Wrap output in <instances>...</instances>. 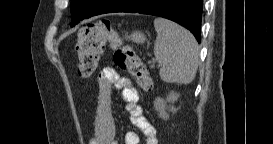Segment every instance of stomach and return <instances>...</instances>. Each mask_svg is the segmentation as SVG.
Listing matches in <instances>:
<instances>
[{"instance_id":"1","label":"stomach","mask_w":273,"mask_h":144,"mask_svg":"<svg viewBox=\"0 0 273 144\" xmlns=\"http://www.w3.org/2000/svg\"><path fill=\"white\" fill-rule=\"evenodd\" d=\"M128 40H132L136 43H144L146 41V37L144 33L140 31H135L131 35L127 36Z\"/></svg>"}]
</instances>
